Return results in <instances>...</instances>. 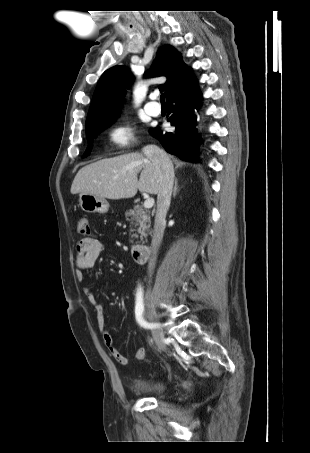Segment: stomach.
I'll return each mask as SVG.
<instances>
[{"label": "stomach", "instance_id": "1", "mask_svg": "<svg viewBox=\"0 0 310 453\" xmlns=\"http://www.w3.org/2000/svg\"><path fill=\"white\" fill-rule=\"evenodd\" d=\"M79 205L81 209L87 213L104 214L109 210V203L105 198L92 194H80Z\"/></svg>", "mask_w": 310, "mask_h": 453}]
</instances>
